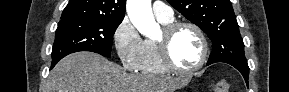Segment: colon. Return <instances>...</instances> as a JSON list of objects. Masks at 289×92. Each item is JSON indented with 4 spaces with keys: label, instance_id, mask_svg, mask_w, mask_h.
<instances>
[{
    "label": "colon",
    "instance_id": "obj_1",
    "mask_svg": "<svg viewBox=\"0 0 289 92\" xmlns=\"http://www.w3.org/2000/svg\"><path fill=\"white\" fill-rule=\"evenodd\" d=\"M214 92H229L230 85L226 80H219L212 85Z\"/></svg>",
    "mask_w": 289,
    "mask_h": 92
}]
</instances>
